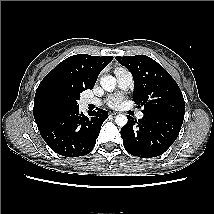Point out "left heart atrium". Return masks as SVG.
<instances>
[{
  "mask_svg": "<svg viewBox=\"0 0 214 214\" xmlns=\"http://www.w3.org/2000/svg\"><path fill=\"white\" fill-rule=\"evenodd\" d=\"M121 100H122V96L120 95H114V96H111L108 100V104L111 106V107H117L120 105L121 103Z\"/></svg>",
  "mask_w": 214,
  "mask_h": 214,
  "instance_id": "obj_1",
  "label": "left heart atrium"
}]
</instances>
